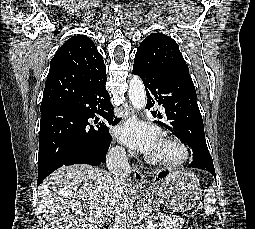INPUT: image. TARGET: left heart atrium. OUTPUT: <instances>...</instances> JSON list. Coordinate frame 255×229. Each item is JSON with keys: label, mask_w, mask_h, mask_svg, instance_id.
Here are the masks:
<instances>
[{"label": "left heart atrium", "mask_w": 255, "mask_h": 229, "mask_svg": "<svg viewBox=\"0 0 255 229\" xmlns=\"http://www.w3.org/2000/svg\"><path fill=\"white\" fill-rule=\"evenodd\" d=\"M116 135L128 146L149 155L154 154L161 142L157 128L135 120L117 129Z\"/></svg>", "instance_id": "left-heart-atrium-1"}]
</instances>
